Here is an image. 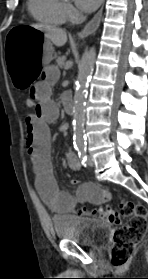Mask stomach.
<instances>
[{
    "instance_id": "0dacf381",
    "label": "stomach",
    "mask_w": 148,
    "mask_h": 279,
    "mask_svg": "<svg viewBox=\"0 0 148 279\" xmlns=\"http://www.w3.org/2000/svg\"><path fill=\"white\" fill-rule=\"evenodd\" d=\"M10 29L3 43L7 44V49L21 50H5L6 59H9L7 78L15 85L14 91H30L42 67L52 59V44L34 25H11Z\"/></svg>"
}]
</instances>
